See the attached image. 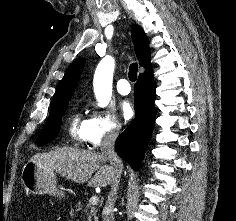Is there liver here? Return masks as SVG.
Wrapping results in <instances>:
<instances>
[{
  "label": "liver",
  "instance_id": "6515ba94",
  "mask_svg": "<svg viewBox=\"0 0 236 221\" xmlns=\"http://www.w3.org/2000/svg\"><path fill=\"white\" fill-rule=\"evenodd\" d=\"M107 160L95 151L62 147L48 153H38L30 161L45 169L56 171L73 182H88L90 187H106L114 177L113 168L105 164Z\"/></svg>",
  "mask_w": 236,
  "mask_h": 221
}]
</instances>
